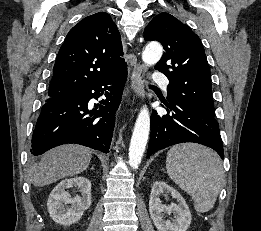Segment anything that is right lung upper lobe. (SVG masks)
Returning <instances> with one entry per match:
<instances>
[{
  "instance_id": "obj_1",
  "label": "right lung upper lobe",
  "mask_w": 261,
  "mask_h": 231,
  "mask_svg": "<svg viewBox=\"0 0 261 231\" xmlns=\"http://www.w3.org/2000/svg\"><path fill=\"white\" fill-rule=\"evenodd\" d=\"M122 55L120 34L108 13L84 18L69 31L59 50L48 96L65 98L115 74L127 66Z\"/></svg>"
}]
</instances>
